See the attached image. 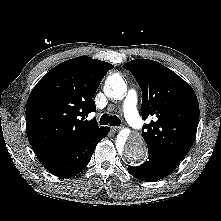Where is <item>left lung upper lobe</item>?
Instances as JSON below:
<instances>
[{
  "label": "left lung upper lobe",
  "instance_id": "obj_1",
  "mask_svg": "<svg viewBox=\"0 0 221 221\" xmlns=\"http://www.w3.org/2000/svg\"><path fill=\"white\" fill-rule=\"evenodd\" d=\"M142 90V133L148 148L182 160L193 145L199 121V104L192 88L164 65L136 59L123 65Z\"/></svg>",
  "mask_w": 221,
  "mask_h": 221
}]
</instances>
